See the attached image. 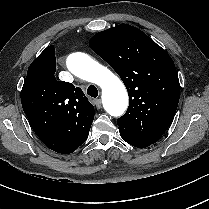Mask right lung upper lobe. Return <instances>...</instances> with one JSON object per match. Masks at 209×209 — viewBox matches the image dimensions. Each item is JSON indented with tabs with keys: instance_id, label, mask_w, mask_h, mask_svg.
I'll return each instance as SVG.
<instances>
[{
	"instance_id": "obj_1",
	"label": "right lung upper lobe",
	"mask_w": 209,
	"mask_h": 209,
	"mask_svg": "<svg viewBox=\"0 0 209 209\" xmlns=\"http://www.w3.org/2000/svg\"><path fill=\"white\" fill-rule=\"evenodd\" d=\"M54 46L47 47L28 68L21 91L30 123L54 130V141L76 150L89 134L94 107L83 91L56 80Z\"/></svg>"
}]
</instances>
